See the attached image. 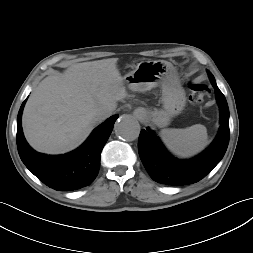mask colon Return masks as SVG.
I'll return each instance as SVG.
<instances>
[{
  "mask_svg": "<svg viewBox=\"0 0 253 253\" xmlns=\"http://www.w3.org/2000/svg\"><path fill=\"white\" fill-rule=\"evenodd\" d=\"M190 87L192 91L191 97L193 103L197 105L201 104L204 97L208 93V87L203 83H192Z\"/></svg>",
  "mask_w": 253,
  "mask_h": 253,
  "instance_id": "5ec220e1",
  "label": "colon"
}]
</instances>
